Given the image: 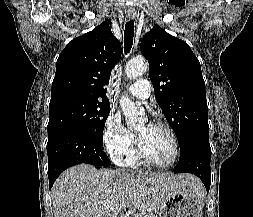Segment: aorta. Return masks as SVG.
Here are the masks:
<instances>
[{"instance_id":"aorta-1","label":"aorta","mask_w":253,"mask_h":217,"mask_svg":"<svg viewBox=\"0 0 253 217\" xmlns=\"http://www.w3.org/2000/svg\"><path fill=\"white\" fill-rule=\"evenodd\" d=\"M148 69V63L144 58H135L130 60L126 65V76L129 79H135ZM120 107L126 118L127 125H140L145 120V112L142 108L136 107L135 104L127 97L122 96L120 99Z\"/></svg>"}]
</instances>
